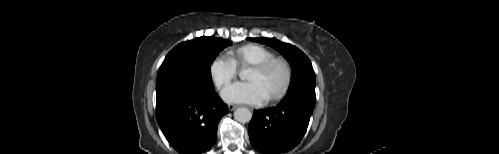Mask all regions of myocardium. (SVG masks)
I'll return each mask as SVG.
<instances>
[{
	"label": "myocardium",
	"instance_id": "1",
	"mask_svg": "<svg viewBox=\"0 0 499 154\" xmlns=\"http://www.w3.org/2000/svg\"><path fill=\"white\" fill-rule=\"evenodd\" d=\"M280 64L284 69V82L281 88L275 92L273 95L267 98L268 101H276L281 99L288 91L291 82H292V67L290 62L283 56H272L258 64L251 66V69H254L258 72H266L273 65Z\"/></svg>",
	"mask_w": 499,
	"mask_h": 154
}]
</instances>
